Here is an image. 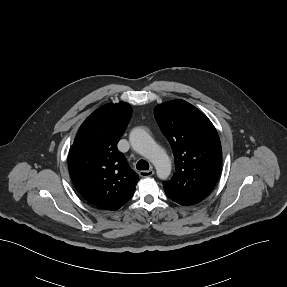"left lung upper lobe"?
Here are the masks:
<instances>
[{"label": "left lung upper lobe", "mask_w": 287, "mask_h": 287, "mask_svg": "<svg viewBox=\"0 0 287 287\" xmlns=\"http://www.w3.org/2000/svg\"><path fill=\"white\" fill-rule=\"evenodd\" d=\"M156 121L171 144L175 173L163 182L166 195L186 204L202 201L214 188L221 171L222 149L211 121L184 100L157 105Z\"/></svg>", "instance_id": "obj_1"}]
</instances>
